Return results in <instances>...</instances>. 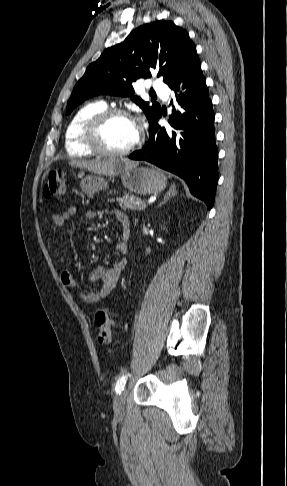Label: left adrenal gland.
Here are the masks:
<instances>
[{"label": "left adrenal gland", "instance_id": "left-adrenal-gland-1", "mask_svg": "<svg viewBox=\"0 0 287 486\" xmlns=\"http://www.w3.org/2000/svg\"><path fill=\"white\" fill-rule=\"evenodd\" d=\"M176 194H177L176 187L173 184V185H171L169 191L166 193V195L164 196L163 201L158 205V207H160L163 204H165L170 198L174 197Z\"/></svg>", "mask_w": 287, "mask_h": 486}]
</instances>
